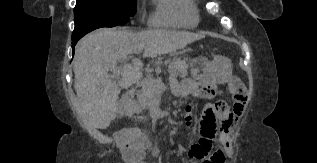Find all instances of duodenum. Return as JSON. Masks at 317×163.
Segmentation results:
<instances>
[{
	"label": "duodenum",
	"instance_id": "410a0bca",
	"mask_svg": "<svg viewBox=\"0 0 317 163\" xmlns=\"http://www.w3.org/2000/svg\"><path fill=\"white\" fill-rule=\"evenodd\" d=\"M131 101H132V94L131 93H126L122 96V98L120 100L121 115H125L128 112L129 107L131 105ZM123 145L125 146L126 143L124 142Z\"/></svg>",
	"mask_w": 317,
	"mask_h": 163
}]
</instances>
